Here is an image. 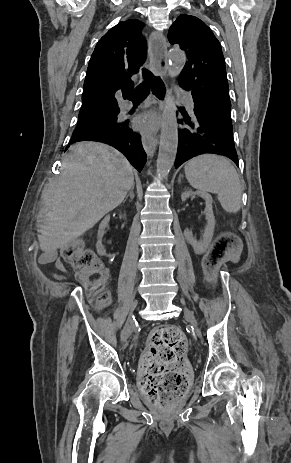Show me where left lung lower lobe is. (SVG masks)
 Returning a JSON list of instances; mask_svg holds the SVG:
<instances>
[{
	"label": "left lung lower lobe",
	"instance_id": "1",
	"mask_svg": "<svg viewBox=\"0 0 291 463\" xmlns=\"http://www.w3.org/2000/svg\"><path fill=\"white\" fill-rule=\"evenodd\" d=\"M178 122L182 124V128L178 130L175 168L192 157L202 154L226 156L238 166L232 123L207 115L196 105H194L193 118L184 115V119Z\"/></svg>",
	"mask_w": 291,
	"mask_h": 463
}]
</instances>
